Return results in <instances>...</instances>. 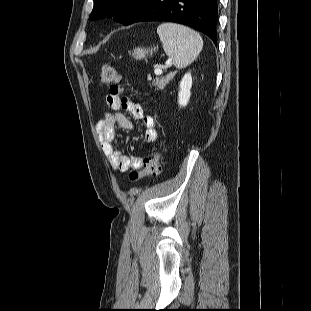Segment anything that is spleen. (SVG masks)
Masks as SVG:
<instances>
[{
  "instance_id": "1",
  "label": "spleen",
  "mask_w": 311,
  "mask_h": 311,
  "mask_svg": "<svg viewBox=\"0 0 311 311\" xmlns=\"http://www.w3.org/2000/svg\"><path fill=\"white\" fill-rule=\"evenodd\" d=\"M157 33L163 49L176 68H184L191 64L199 55L203 47V40L199 33L189 27L176 23H162Z\"/></svg>"
}]
</instances>
